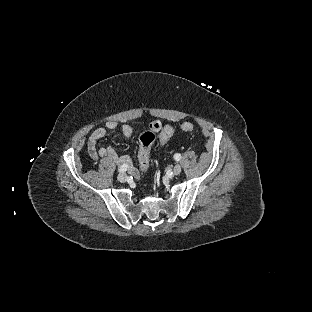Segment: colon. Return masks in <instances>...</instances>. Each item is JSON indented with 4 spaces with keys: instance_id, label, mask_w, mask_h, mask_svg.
<instances>
[{
    "instance_id": "obj_1",
    "label": "colon",
    "mask_w": 312,
    "mask_h": 312,
    "mask_svg": "<svg viewBox=\"0 0 312 312\" xmlns=\"http://www.w3.org/2000/svg\"><path fill=\"white\" fill-rule=\"evenodd\" d=\"M181 129L183 132L188 133L193 130V125L191 123L185 122L182 124ZM160 130V124L158 122H152L149 125V129L140 137V151L138 154L139 166L142 171H146L149 167L150 162V146L156 138V133ZM173 126L171 124H165L161 130V135H159L156 141V148L159 151L164 150L165 142L168 141L173 135Z\"/></svg>"
}]
</instances>
